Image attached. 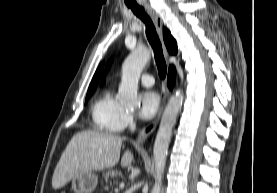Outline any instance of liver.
Listing matches in <instances>:
<instances>
[{
	"instance_id": "obj_1",
	"label": "liver",
	"mask_w": 277,
	"mask_h": 193,
	"mask_svg": "<svg viewBox=\"0 0 277 193\" xmlns=\"http://www.w3.org/2000/svg\"><path fill=\"white\" fill-rule=\"evenodd\" d=\"M122 142L120 136L98 130L77 133L54 170L52 187L59 189L79 174L115 166L120 158ZM132 160L133 154L126 150L121 158V166H129Z\"/></svg>"
}]
</instances>
